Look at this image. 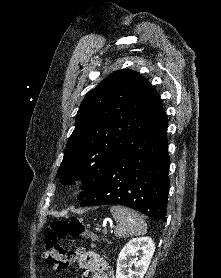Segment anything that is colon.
<instances>
[{"label":"colon","mask_w":221,"mask_h":278,"mask_svg":"<svg viewBox=\"0 0 221 278\" xmlns=\"http://www.w3.org/2000/svg\"><path fill=\"white\" fill-rule=\"evenodd\" d=\"M66 237L84 238L93 242L98 239L96 234L89 231L78 217H72L69 220H54L44 230L43 242L45 261L56 270L69 269L76 256L75 251L58 242Z\"/></svg>","instance_id":"5ec220e1"}]
</instances>
